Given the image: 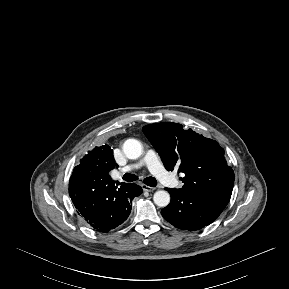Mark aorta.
<instances>
[{
	"label": "aorta",
	"mask_w": 289,
	"mask_h": 289,
	"mask_svg": "<svg viewBox=\"0 0 289 289\" xmlns=\"http://www.w3.org/2000/svg\"><path fill=\"white\" fill-rule=\"evenodd\" d=\"M123 151L127 158L137 159L142 155L143 146L136 139H128L124 142ZM154 203L159 207H166L170 203V195L165 190H159L154 193Z\"/></svg>",
	"instance_id": "aorta-1"
}]
</instances>
